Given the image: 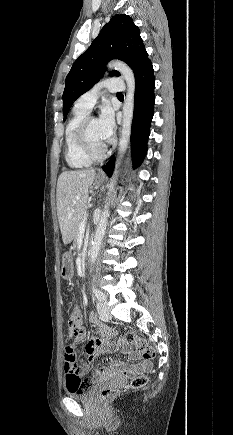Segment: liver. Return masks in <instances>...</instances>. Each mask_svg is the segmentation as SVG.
Wrapping results in <instances>:
<instances>
[{
  "mask_svg": "<svg viewBox=\"0 0 233 435\" xmlns=\"http://www.w3.org/2000/svg\"><path fill=\"white\" fill-rule=\"evenodd\" d=\"M94 169L64 171L57 181L56 205L64 244L75 237L78 224L85 215L89 188L95 179Z\"/></svg>",
  "mask_w": 233,
  "mask_h": 435,
  "instance_id": "liver-1",
  "label": "liver"
}]
</instances>
